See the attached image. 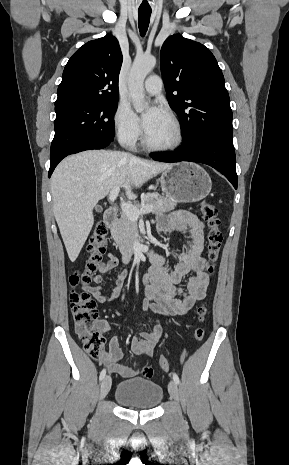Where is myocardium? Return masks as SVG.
<instances>
[{
	"mask_svg": "<svg viewBox=\"0 0 289 465\" xmlns=\"http://www.w3.org/2000/svg\"><path fill=\"white\" fill-rule=\"evenodd\" d=\"M163 113L168 117V119L173 125L174 131H175V138L169 144L157 145V144H153L149 142L146 137V133H145L143 135L142 143H143V146L150 151H156V152L173 151L179 148L184 141L183 128L177 116L169 109H164Z\"/></svg>",
	"mask_w": 289,
	"mask_h": 465,
	"instance_id": "f54148a6",
	"label": "myocardium"
}]
</instances>
